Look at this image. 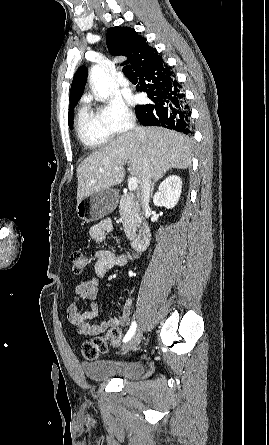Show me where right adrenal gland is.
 <instances>
[{
	"mask_svg": "<svg viewBox=\"0 0 269 445\" xmlns=\"http://www.w3.org/2000/svg\"><path fill=\"white\" fill-rule=\"evenodd\" d=\"M160 178H161V177H160ZM160 178L155 179V180L153 181L152 185H151V191H150V196H151V197H152V195H153V190H154L155 183H156Z\"/></svg>",
	"mask_w": 269,
	"mask_h": 445,
	"instance_id": "2a0ac1e0",
	"label": "right adrenal gland"
}]
</instances>
